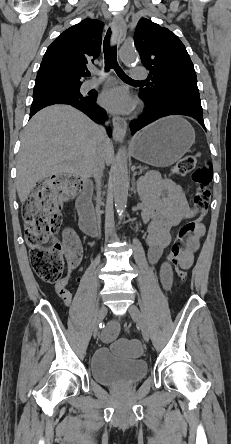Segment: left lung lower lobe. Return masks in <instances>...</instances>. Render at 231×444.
Here are the masks:
<instances>
[{
	"instance_id": "0a47b994",
	"label": "left lung lower lobe",
	"mask_w": 231,
	"mask_h": 444,
	"mask_svg": "<svg viewBox=\"0 0 231 444\" xmlns=\"http://www.w3.org/2000/svg\"><path fill=\"white\" fill-rule=\"evenodd\" d=\"M141 97L146 103V108L144 110V113L141 115V117L138 118V120H134L130 123V129L132 133L140 130L141 128L154 122L155 120L168 115L191 116L196 119L205 129L201 104L189 101H178L163 105H157L143 95H141Z\"/></svg>"
}]
</instances>
